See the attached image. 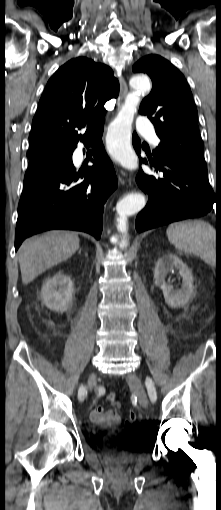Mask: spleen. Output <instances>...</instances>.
Here are the masks:
<instances>
[{"mask_svg": "<svg viewBox=\"0 0 221 510\" xmlns=\"http://www.w3.org/2000/svg\"><path fill=\"white\" fill-rule=\"evenodd\" d=\"M166 233L176 249L197 255L208 264H214L216 232L209 223L201 220L176 222L169 225Z\"/></svg>", "mask_w": 221, "mask_h": 510, "instance_id": "3e777b00", "label": "spleen"}]
</instances>
